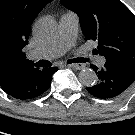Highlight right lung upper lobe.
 <instances>
[{"instance_id": "right-lung-upper-lobe-1", "label": "right lung upper lobe", "mask_w": 135, "mask_h": 135, "mask_svg": "<svg viewBox=\"0 0 135 135\" xmlns=\"http://www.w3.org/2000/svg\"><path fill=\"white\" fill-rule=\"evenodd\" d=\"M52 0H0V75L33 66L25 58L31 24Z\"/></svg>"}]
</instances>
